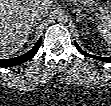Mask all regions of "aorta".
I'll return each instance as SVG.
<instances>
[{"label": "aorta", "mask_w": 111, "mask_h": 106, "mask_svg": "<svg viewBox=\"0 0 111 106\" xmlns=\"http://www.w3.org/2000/svg\"><path fill=\"white\" fill-rule=\"evenodd\" d=\"M66 18H67V16H66V14H65L64 11H59L57 13V19H58V21H65Z\"/></svg>", "instance_id": "1"}]
</instances>
